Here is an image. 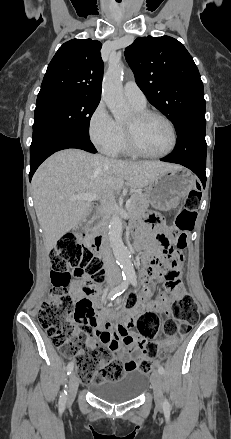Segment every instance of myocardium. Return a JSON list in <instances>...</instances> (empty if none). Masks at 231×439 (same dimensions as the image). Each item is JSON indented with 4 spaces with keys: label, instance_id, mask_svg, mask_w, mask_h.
Listing matches in <instances>:
<instances>
[{
    "label": "myocardium",
    "instance_id": "1",
    "mask_svg": "<svg viewBox=\"0 0 231 439\" xmlns=\"http://www.w3.org/2000/svg\"><path fill=\"white\" fill-rule=\"evenodd\" d=\"M151 116L158 117V118L162 119L170 128L171 135H172V142H171L170 147L166 151H164L162 153H157V154H151V153H147V152L143 151L136 142L133 127L128 126V125L125 126L126 144H127L128 150L136 156H139L142 158H147V159L164 158V157L168 156L169 154H171L177 146V143H178L177 130H176V127H175L174 123L172 122V120L168 116H166L165 114H163L159 111L150 110V109H142V110H138L135 112L136 122L143 121L144 119L151 117Z\"/></svg>",
    "mask_w": 231,
    "mask_h": 439
}]
</instances>
